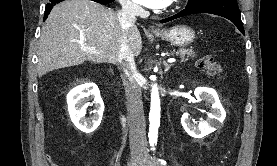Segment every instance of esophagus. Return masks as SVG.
<instances>
[{
	"label": "esophagus",
	"instance_id": "34e87169",
	"mask_svg": "<svg viewBox=\"0 0 277 166\" xmlns=\"http://www.w3.org/2000/svg\"><path fill=\"white\" fill-rule=\"evenodd\" d=\"M150 29H151L153 32H156V31H157V29L154 28L153 26H150Z\"/></svg>",
	"mask_w": 277,
	"mask_h": 166
}]
</instances>
